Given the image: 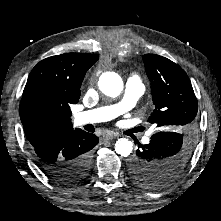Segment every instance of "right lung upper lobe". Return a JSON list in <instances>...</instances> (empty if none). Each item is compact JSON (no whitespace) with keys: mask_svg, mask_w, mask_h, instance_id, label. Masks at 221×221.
<instances>
[{"mask_svg":"<svg viewBox=\"0 0 221 221\" xmlns=\"http://www.w3.org/2000/svg\"><path fill=\"white\" fill-rule=\"evenodd\" d=\"M98 58L66 53L46 58L32 69L20 102V118L31 146L73 130L70 105L79 101L85 73Z\"/></svg>","mask_w":221,"mask_h":221,"instance_id":"obj_1","label":"right lung upper lobe"}]
</instances>
